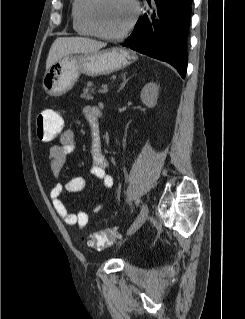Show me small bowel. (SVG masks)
<instances>
[{
	"label": "small bowel",
	"instance_id": "c3829d8e",
	"mask_svg": "<svg viewBox=\"0 0 245 319\" xmlns=\"http://www.w3.org/2000/svg\"><path fill=\"white\" fill-rule=\"evenodd\" d=\"M82 116L89 122L92 133V156L93 165L90 172L98 178L101 184L111 189L114 186V178L108 173L110 166L109 160L102 151L100 131L98 120L101 116V111L96 106L86 105L82 108ZM76 145V135L74 131L67 127L61 135L58 143L52 145L49 149L51 158V172L55 177H59L63 171L66 157L70 154ZM86 181L81 176L72 177L65 183H57L50 192V198L58 215L63 221L70 225L76 226L79 230H83L89 221V214L85 211L71 212L64 204L61 196L64 192L79 193L84 190ZM106 207L105 203H101L93 208V214L101 213Z\"/></svg>",
	"mask_w": 245,
	"mask_h": 319
}]
</instances>
